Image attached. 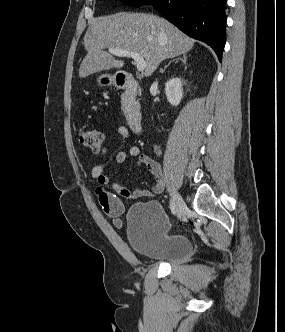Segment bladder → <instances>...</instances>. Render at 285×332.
I'll return each mask as SVG.
<instances>
[{
  "instance_id": "31cf9c89",
  "label": "bladder",
  "mask_w": 285,
  "mask_h": 332,
  "mask_svg": "<svg viewBox=\"0 0 285 332\" xmlns=\"http://www.w3.org/2000/svg\"><path fill=\"white\" fill-rule=\"evenodd\" d=\"M126 230L132 250L145 258L179 265L194 254L186 236L169 231L168 218L155 201L134 204L126 216Z\"/></svg>"
}]
</instances>
